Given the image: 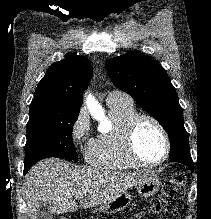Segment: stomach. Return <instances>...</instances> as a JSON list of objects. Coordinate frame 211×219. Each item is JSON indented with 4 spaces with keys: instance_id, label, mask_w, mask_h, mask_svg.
I'll list each match as a JSON object with an SVG mask.
<instances>
[{
    "instance_id": "1",
    "label": "stomach",
    "mask_w": 211,
    "mask_h": 219,
    "mask_svg": "<svg viewBox=\"0 0 211 219\" xmlns=\"http://www.w3.org/2000/svg\"><path fill=\"white\" fill-rule=\"evenodd\" d=\"M161 182L155 174H150L141 183L137 184V192L142 197H150L158 192L160 189ZM132 195L128 192H124L111 201L103 204L99 211L104 214H115L118 213L131 203Z\"/></svg>"
}]
</instances>
